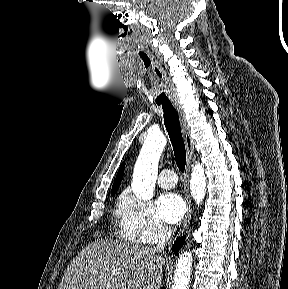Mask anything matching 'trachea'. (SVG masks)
Returning a JSON list of instances; mask_svg holds the SVG:
<instances>
[{"mask_svg": "<svg viewBox=\"0 0 288 289\" xmlns=\"http://www.w3.org/2000/svg\"><path fill=\"white\" fill-rule=\"evenodd\" d=\"M139 56L143 66L152 73L153 86L151 89V96L158 105L162 106L164 123L173 146L175 161L179 170L184 172L186 165L185 144L182 137L178 113L173 104L168 100V92L164 84L163 72L146 52L140 51Z\"/></svg>", "mask_w": 288, "mask_h": 289, "instance_id": "1", "label": "trachea"}]
</instances>
